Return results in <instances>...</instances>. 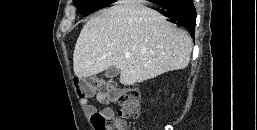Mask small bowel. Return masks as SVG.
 Returning a JSON list of instances; mask_svg holds the SVG:
<instances>
[{"instance_id":"small-bowel-1","label":"small bowel","mask_w":257,"mask_h":130,"mask_svg":"<svg viewBox=\"0 0 257 130\" xmlns=\"http://www.w3.org/2000/svg\"><path fill=\"white\" fill-rule=\"evenodd\" d=\"M96 97L101 102H107V101L112 100V98H110L109 96H106V95H103V94H100V93H97ZM80 102L84 106L85 111H86L87 114L90 115V114H93L94 112H97L96 107L90 104L89 97L81 98ZM101 112L105 113V114H111L112 110L110 108H105Z\"/></svg>"}]
</instances>
